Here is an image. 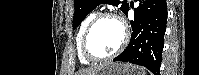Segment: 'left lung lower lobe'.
Returning a JSON list of instances; mask_svg holds the SVG:
<instances>
[{
    "instance_id": "1",
    "label": "left lung lower lobe",
    "mask_w": 199,
    "mask_h": 75,
    "mask_svg": "<svg viewBox=\"0 0 199 75\" xmlns=\"http://www.w3.org/2000/svg\"><path fill=\"white\" fill-rule=\"evenodd\" d=\"M139 1L131 21L133 32L130 43L113 60L141 65L159 75L167 21L166 0Z\"/></svg>"
}]
</instances>
